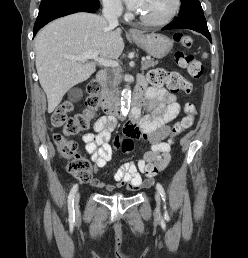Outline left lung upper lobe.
Wrapping results in <instances>:
<instances>
[{"label": "left lung upper lobe", "instance_id": "left-lung-upper-lobe-1", "mask_svg": "<svg viewBox=\"0 0 248 258\" xmlns=\"http://www.w3.org/2000/svg\"><path fill=\"white\" fill-rule=\"evenodd\" d=\"M181 4L182 10L179 16L176 18L178 20H184L192 16L203 14L199 0H181Z\"/></svg>", "mask_w": 248, "mask_h": 258}]
</instances>
